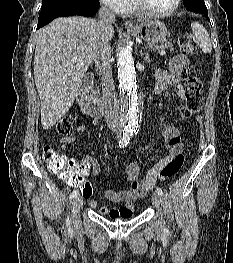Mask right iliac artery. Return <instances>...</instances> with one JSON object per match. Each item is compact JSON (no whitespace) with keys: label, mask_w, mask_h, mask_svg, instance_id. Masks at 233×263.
<instances>
[{"label":"right iliac artery","mask_w":233,"mask_h":263,"mask_svg":"<svg viewBox=\"0 0 233 263\" xmlns=\"http://www.w3.org/2000/svg\"><path fill=\"white\" fill-rule=\"evenodd\" d=\"M131 135H132V134L129 133V132L123 133V136H122V138L120 139L118 146H119L120 148L125 147V146L129 143L130 138H131ZM78 193H79V191H78L77 189H76V190H73V192H72L71 195H70V198L75 197L76 195H78ZM66 225H67V226L70 225L69 217L66 218Z\"/></svg>","instance_id":"right-iliac-artery-1"}]
</instances>
